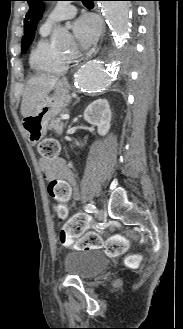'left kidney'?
I'll return each instance as SVG.
<instances>
[{"mask_svg":"<svg viewBox=\"0 0 183 329\" xmlns=\"http://www.w3.org/2000/svg\"><path fill=\"white\" fill-rule=\"evenodd\" d=\"M84 119L97 126L99 135H106L110 129L111 110L106 99L93 101L84 111Z\"/></svg>","mask_w":183,"mask_h":329,"instance_id":"1","label":"left kidney"}]
</instances>
